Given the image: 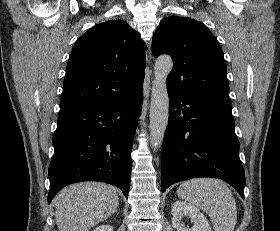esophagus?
<instances>
[{
  "mask_svg": "<svg viewBox=\"0 0 280 231\" xmlns=\"http://www.w3.org/2000/svg\"><path fill=\"white\" fill-rule=\"evenodd\" d=\"M150 61H151V54H149V63H150Z\"/></svg>",
  "mask_w": 280,
  "mask_h": 231,
  "instance_id": "34e87169",
  "label": "esophagus"
}]
</instances>
